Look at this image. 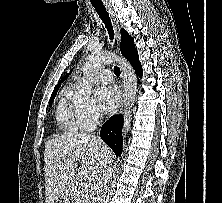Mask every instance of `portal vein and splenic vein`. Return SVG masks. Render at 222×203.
Masks as SVG:
<instances>
[{"instance_id": "1", "label": "portal vein and splenic vein", "mask_w": 222, "mask_h": 203, "mask_svg": "<svg viewBox=\"0 0 222 203\" xmlns=\"http://www.w3.org/2000/svg\"><path fill=\"white\" fill-rule=\"evenodd\" d=\"M82 187L85 191H89V190L93 189V184L91 182H84L82 184Z\"/></svg>"}]
</instances>
